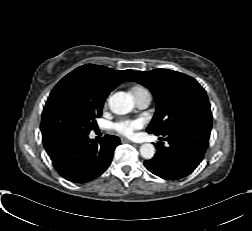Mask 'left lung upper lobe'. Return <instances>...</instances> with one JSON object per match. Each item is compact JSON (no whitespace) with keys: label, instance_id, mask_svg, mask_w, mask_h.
Returning <instances> with one entry per match:
<instances>
[{"label":"left lung upper lobe","instance_id":"left-lung-upper-lobe-1","mask_svg":"<svg viewBox=\"0 0 252 231\" xmlns=\"http://www.w3.org/2000/svg\"><path fill=\"white\" fill-rule=\"evenodd\" d=\"M147 87L156 100V112L147 128L165 135L169 130L190 123L212 125L206 91L192 77L168 69L136 71L128 79Z\"/></svg>","mask_w":252,"mask_h":231}]
</instances>
